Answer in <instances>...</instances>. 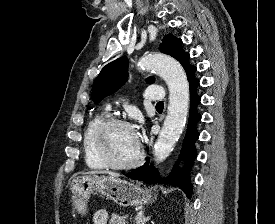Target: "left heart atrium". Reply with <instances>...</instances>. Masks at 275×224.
<instances>
[{"mask_svg":"<svg viewBox=\"0 0 275 224\" xmlns=\"http://www.w3.org/2000/svg\"><path fill=\"white\" fill-rule=\"evenodd\" d=\"M133 130H134V133H135L137 139L139 140V139H140V134H139V132H138L137 130H135V129H133Z\"/></svg>","mask_w":275,"mask_h":224,"instance_id":"obj_1","label":"left heart atrium"}]
</instances>
